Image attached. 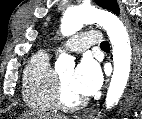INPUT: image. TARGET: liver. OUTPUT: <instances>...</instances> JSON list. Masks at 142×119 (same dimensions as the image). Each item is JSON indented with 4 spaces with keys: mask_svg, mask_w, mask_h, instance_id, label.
<instances>
[{
    "mask_svg": "<svg viewBox=\"0 0 142 119\" xmlns=\"http://www.w3.org/2000/svg\"><path fill=\"white\" fill-rule=\"evenodd\" d=\"M68 119L66 116H57V115H50V114H29V115H24L23 119Z\"/></svg>",
    "mask_w": 142,
    "mask_h": 119,
    "instance_id": "obj_1",
    "label": "liver"
}]
</instances>
